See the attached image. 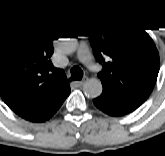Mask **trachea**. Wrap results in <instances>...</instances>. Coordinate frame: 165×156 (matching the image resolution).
Returning a JSON list of instances; mask_svg holds the SVG:
<instances>
[{
    "label": "trachea",
    "mask_w": 165,
    "mask_h": 156,
    "mask_svg": "<svg viewBox=\"0 0 165 156\" xmlns=\"http://www.w3.org/2000/svg\"><path fill=\"white\" fill-rule=\"evenodd\" d=\"M70 73H71V77H70V80L73 81V80H81L82 77H83V71L80 67L78 66H74L71 70H70Z\"/></svg>",
    "instance_id": "trachea-1"
}]
</instances>
